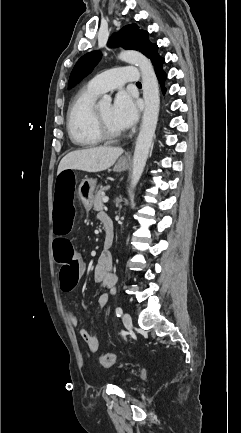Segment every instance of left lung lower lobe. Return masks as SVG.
Instances as JSON below:
<instances>
[{"instance_id":"1","label":"left lung lower lobe","mask_w":241,"mask_h":433,"mask_svg":"<svg viewBox=\"0 0 241 433\" xmlns=\"http://www.w3.org/2000/svg\"><path fill=\"white\" fill-rule=\"evenodd\" d=\"M156 75H157V78L161 84L162 92H163V94H165L166 88L164 87V82H165L166 77H167L166 73L164 71H160V72H157Z\"/></svg>"}]
</instances>
